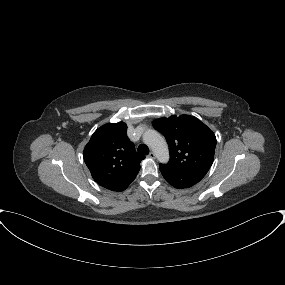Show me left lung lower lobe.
Segmentation results:
<instances>
[{
	"instance_id": "0a47b994",
	"label": "left lung lower lobe",
	"mask_w": 285,
	"mask_h": 285,
	"mask_svg": "<svg viewBox=\"0 0 285 285\" xmlns=\"http://www.w3.org/2000/svg\"><path fill=\"white\" fill-rule=\"evenodd\" d=\"M160 171L165 180L178 189L189 188L198 183L204 174H181L168 170L160 165Z\"/></svg>"
}]
</instances>
